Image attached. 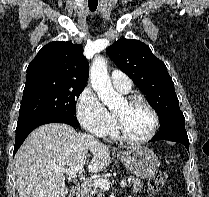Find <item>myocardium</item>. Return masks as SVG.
Wrapping results in <instances>:
<instances>
[{
  "label": "myocardium",
  "mask_w": 209,
  "mask_h": 197,
  "mask_svg": "<svg viewBox=\"0 0 209 197\" xmlns=\"http://www.w3.org/2000/svg\"><path fill=\"white\" fill-rule=\"evenodd\" d=\"M124 101L129 105L134 104V103H138V102L142 103L152 114L153 125L146 136H144L142 138H134V137H131L130 135L127 134V132L124 129L121 119L114 113L115 130L117 132V135L122 140H124L125 142L130 143V144H144V143L149 142L156 135L157 130L159 128L160 118H159L158 112L152 106V104L145 97H143L141 95H137V94L129 95L125 98Z\"/></svg>",
  "instance_id": "f54148a6"
}]
</instances>
